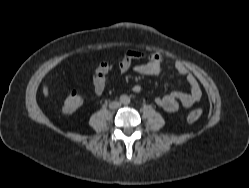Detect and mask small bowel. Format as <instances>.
<instances>
[{
    "label": "small bowel",
    "instance_id": "1",
    "mask_svg": "<svg viewBox=\"0 0 249 188\" xmlns=\"http://www.w3.org/2000/svg\"><path fill=\"white\" fill-rule=\"evenodd\" d=\"M136 61L141 63L133 65ZM117 67L120 72L124 73L133 67L138 74L145 76H159L164 68V59L160 54L147 53L144 51L128 50L119 60ZM174 70L183 76L190 91L171 92L155 99V103L167 112H175L181 106L191 107L197 103L202 97V91L199 82L194 74H192L182 63L177 62L173 65ZM113 70V64L109 62H101L92 73L91 80L93 85V94L99 97L105 91L108 75Z\"/></svg>",
    "mask_w": 249,
    "mask_h": 188
}]
</instances>
